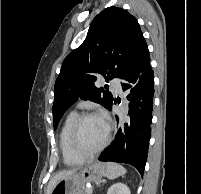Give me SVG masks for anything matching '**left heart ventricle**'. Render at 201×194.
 I'll use <instances>...</instances> for the list:
<instances>
[{"instance_id": "left-heart-ventricle-1", "label": "left heart ventricle", "mask_w": 201, "mask_h": 194, "mask_svg": "<svg viewBox=\"0 0 201 194\" xmlns=\"http://www.w3.org/2000/svg\"><path fill=\"white\" fill-rule=\"evenodd\" d=\"M107 131L99 117H91L81 125L79 141L86 151L96 149L105 139Z\"/></svg>"}]
</instances>
